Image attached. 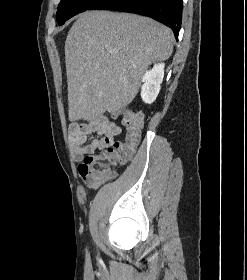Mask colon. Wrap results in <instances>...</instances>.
Returning a JSON list of instances; mask_svg holds the SVG:
<instances>
[{
	"mask_svg": "<svg viewBox=\"0 0 247 280\" xmlns=\"http://www.w3.org/2000/svg\"><path fill=\"white\" fill-rule=\"evenodd\" d=\"M126 136L123 142L115 141L100 154L87 156L82 170L98 179H110L113 175L112 166L129 159L140 141L143 118L140 114L127 111L123 116Z\"/></svg>",
	"mask_w": 247,
	"mask_h": 280,
	"instance_id": "5ec220e1",
	"label": "colon"
}]
</instances>
